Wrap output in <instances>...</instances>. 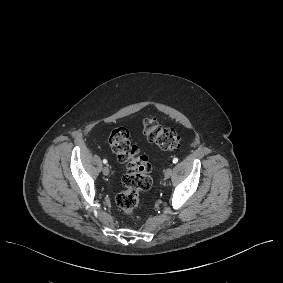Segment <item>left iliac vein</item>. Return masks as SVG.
<instances>
[{
    "mask_svg": "<svg viewBox=\"0 0 283 283\" xmlns=\"http://www.w3.org/2000/svg\"><path fill=\"white\" fill-rule=\"evenodd\" d=\"M172 175V168H167L164 172L165 178H169Z\"/></svg>",
    "mask_w": 283,
    "mask_h": 283,
    "instance_id": "4c4485c4",
    "label": "left iliac vein"
}]
</instances>
